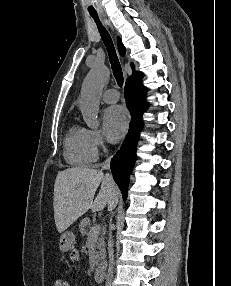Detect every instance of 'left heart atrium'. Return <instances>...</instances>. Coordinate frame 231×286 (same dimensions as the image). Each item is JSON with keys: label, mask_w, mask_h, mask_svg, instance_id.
<instances>
[{"label": "left heart atrium", "mask_w": 231, "mask_h": 286, "mask_svg": "<svg viewBox=\"0 0 231 286\" xmlns=\"http://www.w3.org/2000/svg\"><path fill=\"white\" fill-rule=\"evenodd\" d=\"M128 124L126 110L119 105L107 108L103 114V127L110 141L119 140L125 133Z\"/></svg>", "instance_id": "39dd6f15"}]
</instances>
